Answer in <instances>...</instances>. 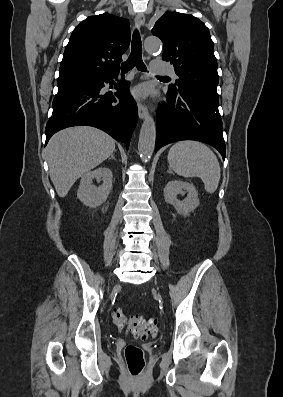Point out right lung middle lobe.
Returning <instances> with one entry per match:
<instances>
[{"label":"right lung middle lobe","mask_w":283,"mask_h":397,"mask_svg":"<svg viewBox=\"0 0 283 397\" xmlns=\"http://www.w3.org/2000/svg\"><path fill=\"white\" fill-rule=\"evenodd\" d=\"M80 82H89V81H77V82H73V83H80ZM73 83L57 82V86H58V88H60V87L68 86V85L73 84Z\"/></svg>","instance_id":"1"}]
</instances>
